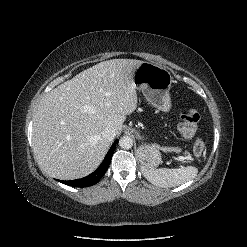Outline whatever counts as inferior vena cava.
Segmentation results:
<instances>
[{"label":"inferior vena cava","instance_id":"1","mask_svg":"<svg viewBox=\"0 0 247 247\" xmlns=\"http://www.w3.org/2000/svg\"><path fill=\"white\" fill-rule=\"evenodd\" d=\"M115 136H116L115 130L111 127L104 129L102 132V137L108 141H112Z\"/></svg>","mask_w":247,"mask_h":247}]
</instances>
